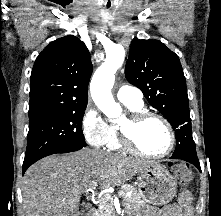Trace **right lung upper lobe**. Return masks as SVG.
<instances>
[{
    "instance_id": "cb5924a9",
    "label": "right lung upper lobe",
    "mask_w": 221,
    "mask_h": 216,
    "mask_svg": "<svg viewBox=\"0 0 221 216\" xmlns=\"http://www.w3.org/2000/svg\"><path fill=\"white\" fill-rule=\"evenodd\" d=\"M91 73L90 54L80 39L69 35L51 42L32 69L29 119L87 106Z\"/></svg>"
}]
</instances>
